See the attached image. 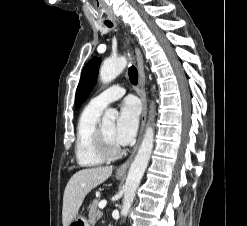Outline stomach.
I'll return each mask as SVG.
<instances>
[{
    "label": "stomach",
    "mask_w": 247,
    "mask_h": 226,
    "mask_svg": "<svg viewBox=\"0 0 247 226\" xmlns=\"http://www.w3.org/2000/svg\"><path fill=\"white\" fill-rule=\"evenodd\" d=\"M120 176H117V179H119ZM68 226H90L89 221L84 216H77L75 217Z\"/></svg>",
    "instance_id": "0dacf381"
}]
</instances>
